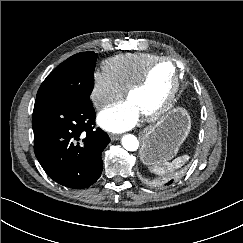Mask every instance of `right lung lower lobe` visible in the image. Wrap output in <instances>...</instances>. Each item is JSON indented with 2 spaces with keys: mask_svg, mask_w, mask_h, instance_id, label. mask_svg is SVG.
Returning <instances> with one entry per match:
<instances>
[{
  "mask_svg": "<svg viewBox=\"0 0 243 243\" xmlns=\"http://www.w3.org/2000/svg\"><path fill=\"white\" fill-rule=\"evenodd\" d=\"M92 103L69 105L51 99H36L32 127L34 152L47 175L72 189L95 183L102 173L101 153L110 138L94 129Z\"/></svg>",
  "mask_w": 243,
  "mask_h": 243,
  "instance_id": "right-lung-lower-lobe-1",
  "label": "right lung lower lobe"
}]
</instances>
